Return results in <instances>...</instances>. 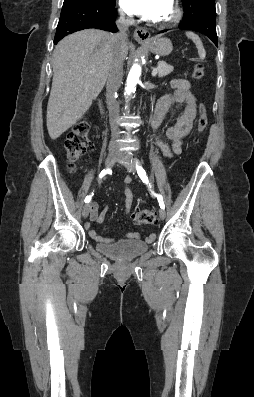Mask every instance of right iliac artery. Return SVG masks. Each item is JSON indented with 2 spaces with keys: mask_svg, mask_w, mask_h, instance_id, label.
Masks as SVG:
<instances>
[{
  "mask_svg": "<svg viewBox=\"0 0 254 397\" xmlns=\"http://www.w3.org/2000/svg\"><path fill=\"white\" fill-rule=\"evenodd\" d=\"M110 172H111L110 169L102 170L101 173H100V175H99V178H100V179L103 178L106 174H109ZM92 195H93V193L90 194V195H88V196L85 198V203H89V202H90V200H91V198H92Z\"/></svg>",
  "mask_w": 254,
  "mask_h": 397,
  "instance_id": "1",
  "label": "right iliac artery"
}]
</instances>
